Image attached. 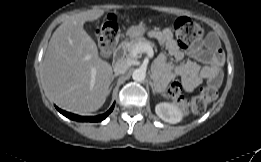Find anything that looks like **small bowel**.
I'll return each mask as SVG.
<instances>
[{
    "label": "small bowel",
    "instance_id": "small-bowel-1",
    "mask_svg": "<svg viewBox=\"0 0 261 162\" xmlns=\"http://www.w3.org/2000/svg\"><path fill=\"white\" fill-rule=\"evenodd\" d=\"M167 52L177 60L184 57L170 29L153 31L151 34ZM188 53L195 58V61H186L179 66H172L167 62L165 54H160L156 60V67L159 69L165 80L175 76L181 77L183 87L186 91H193L203 80L218 86L221 82L220 68L224 64V52L215 35L210 34L204 40L196 41L188 50Z\"/></svg>",
    "mask_w": 261,
    "mask_h": 162
}]
</instances>
